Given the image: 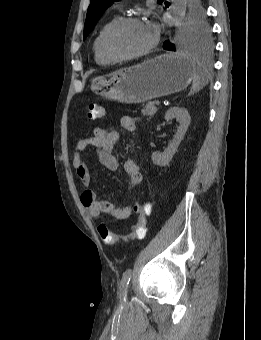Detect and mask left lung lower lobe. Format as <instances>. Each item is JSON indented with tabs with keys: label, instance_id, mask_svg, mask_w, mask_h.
I'll return each mask as SVG.
<instances>
[{
	"label": "left lung lower lobe",
	"instance_id": "0a47b994",
	"mask_svg": "<svg viewBox=\"0 0 261 340\" xmlns=\"http://www.w3.org/2000/svg\"><path fill=\"white\" fill-rule=\"evenodd\" d=\"M163 48L166 49V50L175 51V45L172 44V43H169L168 41L164 42Z\"/></svg>",
	"mask_w": 261,
	"mask_h": 340
}]
</instances>
